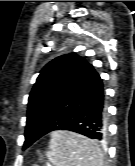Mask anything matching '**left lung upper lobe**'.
<instances>
[{"mask_svg": "<svg viewBox=\"0 0 135 166\" xmlns=\"http://www.w3.org/2000/svg\"><path fill=\"white\" fill-rule=\"evenodd\" d=\"M87 64L76 53L59 56L40 72L29 95L27 123H45L64 108L70 91Z\"/></svg>", "mask_w": 135, "mask_h": 166, "instance_id": "obj_1", "label": "left lung upper lobe"}]
</instances>
